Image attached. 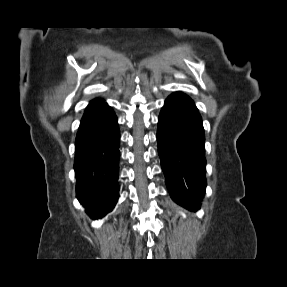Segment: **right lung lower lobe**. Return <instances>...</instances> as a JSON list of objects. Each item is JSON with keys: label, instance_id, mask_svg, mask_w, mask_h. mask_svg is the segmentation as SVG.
I'll use <instances>...</instances> for the list:
<instances>
[{"label": "right lung lower lobe", "instance_id": "1", "mask_svg": "<svg viewBox=\"0 0 287 287\" xmlns=\"http://www.w3.org/2000/svg\"><path fill=\"white\" fill-rule=\"evenodd\" d=\"M120 132L107 103L87 108L75 141L76 196L87 214L98 219L109 213L119 196Z\"/></svg>", "mask_w": 287, "mask_h": 287}]
</instances>
